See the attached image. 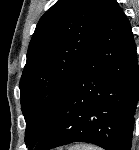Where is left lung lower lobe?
<instances>
[{
    "label": "left lung lower lobe",
    "mask_w": 139,
    "mask_h": 150,
    "mask_svg": "<svg viewBox=\"0 0 139 150\" xmlns=\"http://www.w3.org/2000/svg\"><path fill=\"white\" fill-rule=\"evenodd\" d=\"M138 100L136 46L131 25L115 2L34 150L72 142L130 150Z\"/></svg>",
    "instance_id": "1"
}]
</instances>
